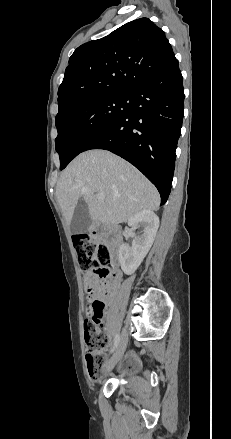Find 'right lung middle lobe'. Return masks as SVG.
Wrapping results in <instances>:
<instances>
[{"label": "right lung middle lobe", "mask_w": 231, "mask_h": 439, "mask_svg": "<svg viewBox=\"0 0 231 439\" xmlns=\"http://www.w3.org/2000/svg\"><path fill=\"white\" fill-rule=\"evenodd\" d=\"M131 106V94L104 95L83 100L56 116V151L60 168L83 151L98 134L120 119Z\"/></svg>", "instance_id": "1"}]
</instances>
